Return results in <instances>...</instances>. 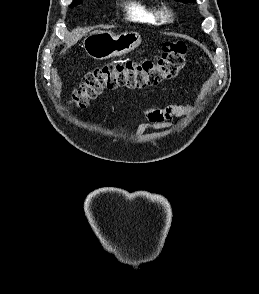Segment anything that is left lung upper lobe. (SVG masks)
Returning <instances> with one entry per match:
<instances>
[{
  "mask_svg": "<svg viewBox=\"0 0 259 294\" xmlns=\"http://www.w3.org/2000/svg\"><path fill=\"white\" fill-rule=\"evenodd\" d=\"M176 1H179V2H182V3L195 2V0H176Z\"/></svg>",
  "mask_w": 259,
  "mask_h": 294,
  "instance_id": "1",
  "label": "left lung upper lobe"
}]
</instances>
